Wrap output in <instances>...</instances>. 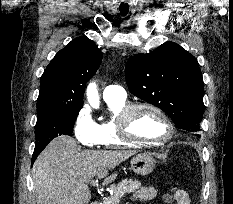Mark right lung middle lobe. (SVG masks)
I'll use <instances>...</instances> for the list:
<instances>
[{"mask_svg":"<svg viewBox=\"0 0 233 204\" xmlns=\"http://www.w3.org/2000/svg\"><path fill=\"white\" fill-rule=\"evenodd\" d=\"M80 109L38 115L35 126V146L46 145L60 135H71Z\"/></svg>","mask_w":233,"mask_h":204,"instance_id":"obj_1","label":"right lung middle lobe"}]
</instances>
